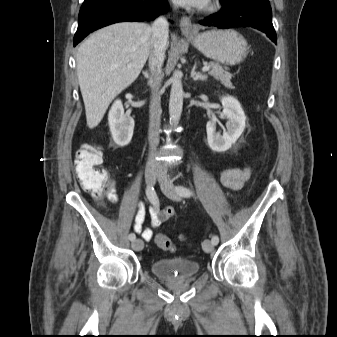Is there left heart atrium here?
Returning a JSON list of instances; mask_svg holds the SVG:
<instances>
[{
	"instance_id": "39dd6f15",
	"label": "left heart atrium",
	"mask_w": 337,
	"mask_h": 337,
	"mask_svg": "<svg viewBox=\"0 0 337 337\" xmlns=\"http://www.w3.org/2000/svg\"><path fill=\"white\" fill-rule=\"evenodd\" d=\"M173 1L182 6L200 8L207 5L209 0H173Z\"/></svg>"
}]
</instances>
